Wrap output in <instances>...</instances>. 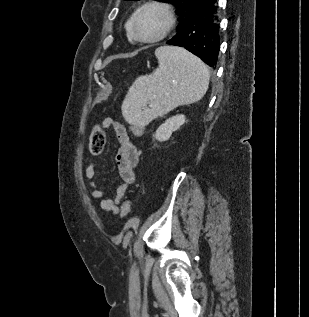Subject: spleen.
Listing matches in <instances>:
<instances>
[{
	"label": "spleen",
	"instance_id": "1",
	"mask_svg": "<svg viewBox=\"0 0 309 317\" xmlns=\"http://www.w3.org/2000/svg\"><path fill=\"white\" fill-rule=\"evenodd\" d=\"M155 56L159 66L139 76L122 103L123 117L130 124L145 126L178 106L199 101L207 92L210 72L198 57L173 46L157 48Z\"/></svg>",
	"mask_w": 309,
	"mask_h": 317
}]
</instances>
